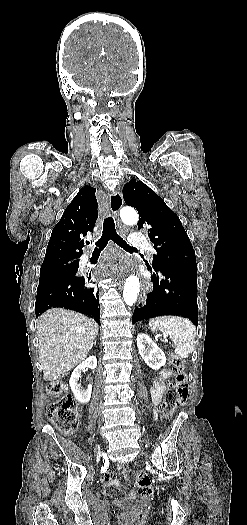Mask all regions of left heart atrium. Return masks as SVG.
<instances>
[{"label":"left heart atrium","instance_id":"1","mask_svg":"<svg viewBox=\"0 0 247 525\" xmlns=\"http://www.w3.org/2000/svg\"><path fill=\"white\" fill-rule=\"evenodd\" d=\"M129 254L108 250L106 251L100 261L104 262L103 272H93L97 280H103L113 275H119L129 269Z\"/></svg>","mask_w":247,"mask_h":525}]
</instances>
